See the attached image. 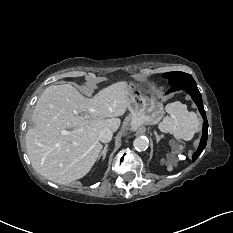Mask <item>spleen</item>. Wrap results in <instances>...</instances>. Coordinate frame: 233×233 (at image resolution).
<instances>
[{
  "label": "spleen",
  "mask_w": 233,
  "mask_h": 233,
  "mask_svg": "<svg viewBox=\"0 0 233 233\" xmlns=\"http://www.w3.org/2000/svg\"><path fill=\"white\" fill-rule=\"evenodd\" d=\"M165 110L169 116L159 123V129L178 140H191L200 125L197 115L189 112L187 106L179 101L167 104Z\"/></svg>",
  "instance_id": "obj_1"
}]
</instances>
